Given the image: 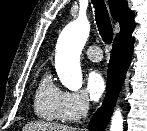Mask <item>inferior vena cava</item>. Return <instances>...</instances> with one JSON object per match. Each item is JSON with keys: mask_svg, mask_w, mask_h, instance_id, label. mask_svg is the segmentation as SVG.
I'll return each instance as SVG.
<instances>
[{"mask_svg": "<svg viewBox=\"0 0 147 131\" xmlns=\"http://www.w3.org/2000/svg\"><path fill=\"white\" fill-rule=\"evenodd\" d=\"M88 109H89V100H84L81 104L82 118L85 119L87 117Z\"/></svg>", "mask_w": 147, "mask_h": 131, "instance_id": "inferior-vena-cava-1", "label": "inferior vena cava"}]
</instances>
